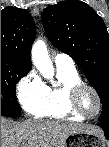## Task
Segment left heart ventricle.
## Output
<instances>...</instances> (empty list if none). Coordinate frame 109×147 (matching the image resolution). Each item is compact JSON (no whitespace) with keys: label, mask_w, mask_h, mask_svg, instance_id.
<instances>
[{"label":"left heart ventricle","mask_w":109,"mask_h":147,"mask_svg":"<svg viewBox=\"0 0 109 147\" xmlns=\"http://www.w3.org/2000/svg\"><path fill=\"white\" fill-rule=\"evenodd\" d=\"M80 107L88 114L93 115L97 110V100L92 92L84 90L80 96Z\"/></svg>","instance_id":"obj_1"}]
</instances>
